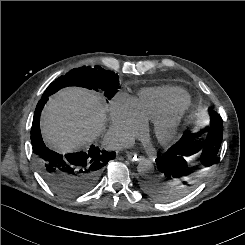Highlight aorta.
Listing matches in <instances>:
<instances>
[{"mask_svg": "<svg viewBox=\"0 0 245 245\" xmlns=\"http://www.w3.org/2000/svg\"><path fill=\"white\" fill-rule=\"evenodd\" d=\"M154 166L149 160L141 161L137 166V171L142 177H148L153 173Z\"/></svg>", "mask_w": 245, "mask_h": 245, "instance_id": "1", "label": "aorta"}]
</instances>
